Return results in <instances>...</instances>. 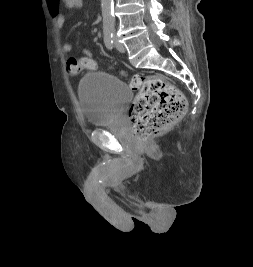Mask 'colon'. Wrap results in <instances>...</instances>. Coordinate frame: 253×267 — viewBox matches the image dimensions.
<instances>
[{"label": "colon", "instance_id": "obj_1", "mask_svg": "<svg viewBox=\"0 0 253 267\" xmlns=\"http://www.w3.org/2000/svg\"><path fill=\"white\" fill-rule=\"evenodd\" d=\"M84 57H70L67 71L76 75L83 69L95 70L97 63L91 51L83 48ZM130 88L138 92L129 109V120L134 135L141 141L158 135L178 121L185 113L187 101L173 85L158 76L136 74L129 77Z\"/></svg>", "mask_w": 253, "mask_h": 267}]
</instances>
